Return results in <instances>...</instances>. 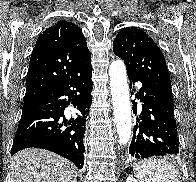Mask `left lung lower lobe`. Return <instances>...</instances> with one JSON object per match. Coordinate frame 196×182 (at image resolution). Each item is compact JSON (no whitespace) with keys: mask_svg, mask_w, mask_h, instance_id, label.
I'll use <instances>...</instances> for the list:
<instances>
[{"mask_svg":"<svg viewBox=\"0 0 196 182\" xmlns=\"http://www.w3.org/2000/svg\"><path fill=\"white\" fill-rule=\"evenodd\" d=\"M130 89L135 82L142 86L135 94L140 99L142 110L136 118L129 153L135 158L150 156H171L179 153L177 126L174 118V105L158 90L145 83L139 75L127 71ZM135 89H133V92ZM133 103V112L137 113V103Z\"/></svg>","mask_w":196,"mask_h":182,"instance_id":"obj_1","label":"left lung lower lobe"}]
</instances>
